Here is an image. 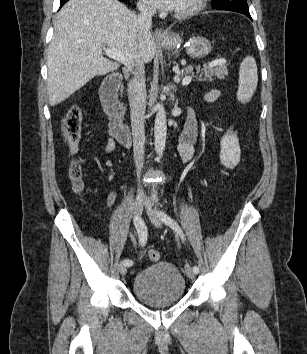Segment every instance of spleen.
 I'll use <instances>...</instances> for the list:
<instances>
[{"label":"spleen","instance_id":"spleen-1","mask_svg":"<svg viewBox=\"0 0 307 354\" xmlns=\"http://www.w3.org/2000/svg\"><path fill=\"white\" fill-rule=\"evenodd\" d=\"M258 83L257 65L252 56H246L240 64L237 99L241 103L249 102Z\"/></svg>","mask_w":307,"mask_h":354}]
</instances>
